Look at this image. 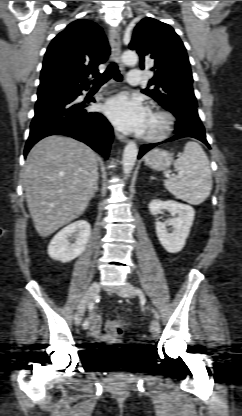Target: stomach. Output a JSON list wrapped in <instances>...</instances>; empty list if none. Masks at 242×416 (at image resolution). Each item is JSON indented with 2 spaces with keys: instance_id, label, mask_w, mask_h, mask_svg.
Returning a JSON list of instances; mask_svg holds the SVG:
<instances>
[{
  "instance_id": "1",
  "label": "stomach",
  "mask_w": 242,
  "mask_h": 416,
  "mask_svg": "<svg viewBox=\"0 0 242 416\" xmlns=\"http://www.w3.org/2000/svg\"><path fill=\"white\" fill-rule=\"evenodd\" d=\"M173 161V155L168 151L153 149L145 156V164L155 170H166Z\"/></svg>"
}]
</instances>
